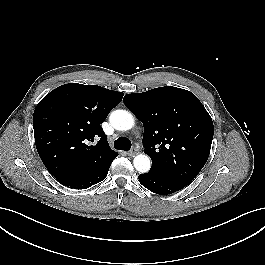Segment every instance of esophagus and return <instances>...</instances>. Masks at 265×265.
<instances>
[{
  "label": "esophagus",
  "instance_id": "obj_1",
  "mask_svg": "<svg viewBox=\"0 0 265 265\" xmlns=\"http://www.w3.org/2000/svg\"><path fill=\"white\" fill-rule=\"evenodd\" d=\"M137 151L138 150L135 147H133L127 154H128V156L133 157L137 154Z\"/></svg>",
  "mask_w": 265,
  "mask_h": 265
}]
</instances>
